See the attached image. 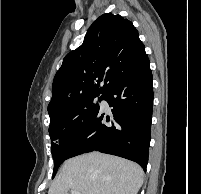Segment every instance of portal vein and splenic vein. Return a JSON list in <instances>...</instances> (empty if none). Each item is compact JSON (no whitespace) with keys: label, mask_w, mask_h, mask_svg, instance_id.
<instances>
[{"label":"portal vein and splenic vein","mask_w":201,"mask_h":194,"mask_svg":"<svg viewBox=\"0 0 201 194\" xmlns=\"http://www.w3.org/2000/svg\"><path fill=\"white\" fill-rule=\"evenodd\" d=\"M71 194H81V193L75 190H71Z\"/></svg>","instance_id":"obj_1"}]
</instances>
